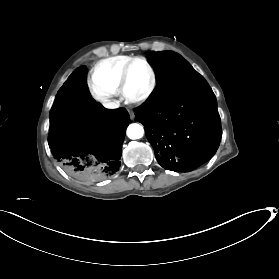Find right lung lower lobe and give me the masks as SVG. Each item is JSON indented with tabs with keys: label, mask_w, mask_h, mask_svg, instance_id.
Listing matches in <instances>:
<instances>
[{
	"label": "right lung lower lobe",
	"mask_w": 279,
	"mask_h": 279,
	"mask_svg": "<svg viewBox=\"0 0 279 279\" xmlns=\"http://www.w3.org/2000/svg\"><path fill=\"white\" fill-rule=\"evenodd\" d=\"M86 71L84 66L76 69L58 91L50 114L48 144L69 175L99 181L121 166L130 118L125 108L106 109L91 98Z\"/></svg>",
	"instance_id": "1"
}]
</instances>
